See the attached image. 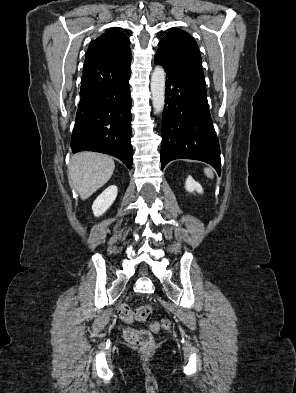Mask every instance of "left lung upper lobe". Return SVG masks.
I'll return each instance as SVG.
<instances>
[{
  "instance_id": "obj_1",
  "label": "left lung upper lobe",
  "mask_w": 296,
  "mask_h": 393,
  "mask_svg": "<svg viewBox=\"0 0 296 393\" xmlns=\"http://www.w3.org/2000/svg\"><path fill=\"white\" fill-rule=\"evenodd\" d=\"M156 56L169 64L202 69L195 40L187 32L177 28H172L159 42Z\"/></svg>"
}]
</instances>
